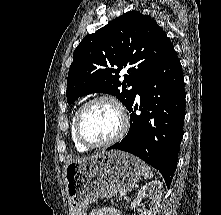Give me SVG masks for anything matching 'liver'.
Instances as JSON below:
<instances>
[{
    "label": "liver",
    "mask_w": 221,
    "mask_h": 215,
    "mask_svg": "<svg viewBox=\"0 0 221 215\" xmlns=\"http://www.w3.org/2000/svg\"><path fill=\"white\" fill-rule=\"evenodd\" d=\"M82 159H85V158H82ZM79 160H81V159H76V160L69 159V160L67 161V164L72 163V162H75V161H79ZM66 166H67V165H66ZM65 168H66V167H65Z\"/></svg>",
    "instance_id": "obj_1"
}]
</instances>
